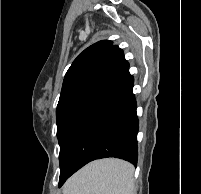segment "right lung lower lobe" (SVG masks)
Segmentation results:
<instances>
[{
  "mask_svg": "<svg viewBox=\"0 0 201 194\" xmlns=\"http://www.w3.org/2000/svg\"><path fill=\"white\" fill-rule=\"evenodd\" d=\"M129 75L92 99L72 119L60 142L59 187L88 162L117 157L136 165L138 118Z\"/></svg>",
  "mask_w": 201,
  "mask_h": 194,
  "instance_id": "1",
  "label": "right lung lower lobe"
}]
</instances>
